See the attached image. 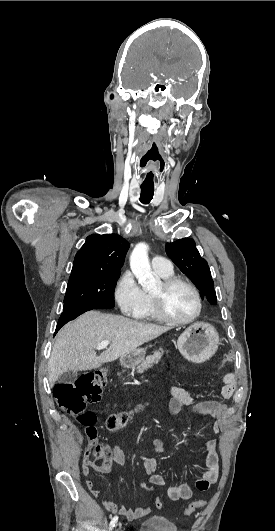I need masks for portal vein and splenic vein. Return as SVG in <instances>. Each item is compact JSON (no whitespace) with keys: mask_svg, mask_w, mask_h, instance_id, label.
<instances>
[{"mask_svg":"<svg viewBox=\"0 0 275 531\" xmlns=\"http://www.w3.org/2000/svg\"><path fill=\"white\" fill-rule=\"evenodd\" d=\"M109 345V341H102V343H99V345H97L96 349L97 351H101V349H107Z\"/></svg>","mask_w":275,"mask_h":531,"instance_id":"18ae733b","label":"portal vein and splenic vein"}]
</instances>
